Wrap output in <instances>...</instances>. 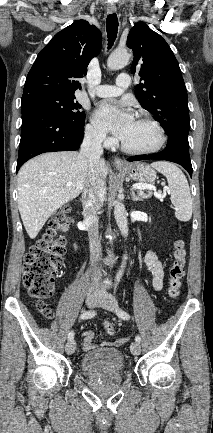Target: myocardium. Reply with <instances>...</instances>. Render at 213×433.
I'll list each match as a JSON object with an SVG mask.
<instances>
[{
    "instance_id": "obj_1",
    "label": "myocardium",
    "mask_w": 213,
    "mask_h": 433,
    "mask_svg": "<svg viewBox=\"0 0 213 433\" xmlns=\"http://www.w3.org/2000/svg\"><path fill=\"white\" fill-rule=\"evenodd\" d=\"M137 120L142 121V122H144V123H146V124H148L154 128V130L156 131V134H157L156 143L149 148L132 149V148L126 146L121 141V143H120L121 149L124 152H126L128 154H132V155H147V154H152V153L159 151L166 142V134H165V131H164L163 127L161 126V124L148 115H140Z\"/></svg>"
}]
</instances>
